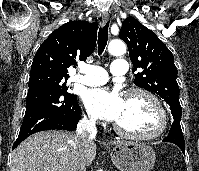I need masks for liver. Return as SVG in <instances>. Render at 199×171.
Masks as SVG:
<instances>
[{
  "label": "liver",
  "instance_id": "6515ba94",
  "mask_svg": "<svg viewBox=\"0 0 199 171\" xmlns=\"http://www.w3.org/2000/svg\"><path fill=\"white\" fill-rule=\"evenodd\" d=\"M78 153L87 166L95 158L96 144L90 141L80 146L76 135L69 131L39 132L28 137L13 151L10 171H73Z\"/></svg>",
  "mask_w": 199,
  "mask_h": 171
}]
</instances>
